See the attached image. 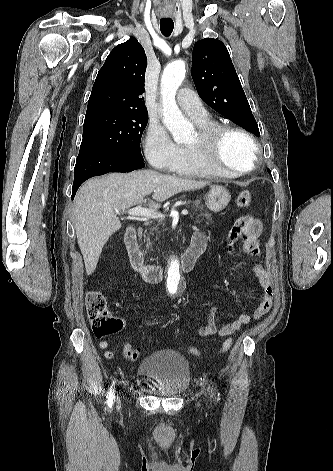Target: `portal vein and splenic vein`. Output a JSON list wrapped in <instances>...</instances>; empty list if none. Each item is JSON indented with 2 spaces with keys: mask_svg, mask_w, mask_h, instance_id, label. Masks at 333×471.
<instances>
[{
  "mask_svg": "<svg viewBox=\"0 0 333 471\" xmlns=\"http://www.w3.org/2000/svg\"><path fill=\"white\" fill-rule=\"evenodd\" d=\"M121 211H116V213H120ZM125 212L124 210L122 211ZM130 216H141L147 218H162L163 215L161 213L156 212L153 209L143 208L141 206H136L134 208L129 209L126 211ZM182 215H188L187 210H182Z\"/></svg>",
  "mask_w": 333,
  "mask_h": 471,
  "instance_id": "portal-vein-and-splenic-vein-1",
  "label": "portal vein and splenic vein"
}]
</instances>
